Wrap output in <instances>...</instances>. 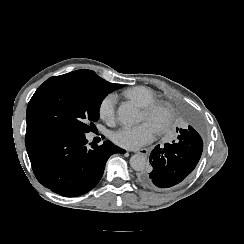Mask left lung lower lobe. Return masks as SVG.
<instances>
[{
	"label": "left lung lower lobe",
	"instance_id": "0a47b994",
	"mask_svg": "<svg viewBox=\"0 0 244 244\" xmlns=\"http://www.w3.org/2000/svg\"><path fill=\"white\" fill-rule=\"evenodd\" d=\"M177 140L157 145L150 154L152 169L143 171L138 178L149 189L170 188L179 184L196 167L203 150L201 127L197 119L184 117L182 128H176Z\"/></svg>",
	"mask_w": 244,
	"mask_h": 244
}]
</instances>
